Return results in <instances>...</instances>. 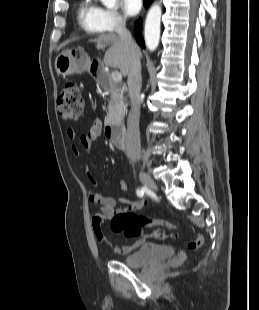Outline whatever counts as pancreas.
Segmentation results:
<instances>
[{
	"label": "pancreas",
	"instance_id": "cf45deb5",
	"mask_svg": "<svg viewBox=\"0 0 259 310\" xmlns=\"http://www.w3.org/2000/svg\"><path fill=\"white\" fill-rule=\"evenodd\" d=\"M110 102L108 104V112L105 123H120L127 114V104L124 102L122 94L117 90L113 82Z\"/></svg>",
	"mask_w": 259,
	"mask_h": 310
}]
</instances>
